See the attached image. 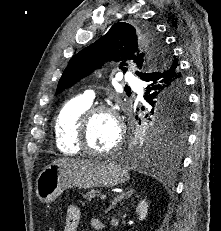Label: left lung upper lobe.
I'll return each instance as SVG.
<instances>
[{
  "instance_id": "1",
  "label": "left lung upper lobe",
  "mask_w": 221,
  "mask_h": 231,
  "mask_svg": "<svg viewBox=\"0 0 221 231\" xmlns=\"http://www.w3.org/2000/svg\"><path fill=\"white\" fill-rule=\"evenodd\" d=\"M131 59L140 69H152L155 66L163 67L169 57L163 39L150 25L135 28L125 22L116 23L106 35L71 58L59 81L57 92L99 68L106 60L122 61L120 68L125 71V61ZM145 74L138 72L140 78ZM174 96L177 101L169 110H162L158 101L150 104L151 126L146 136L156 135L168 142L184 141L182 130L187 122V96L184 88L174 90Z\"/></svg>"
}]
</instances>
